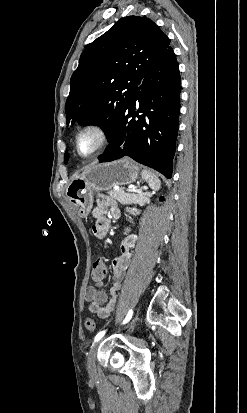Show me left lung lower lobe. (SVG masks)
<instances>
[{
  "mask_svg": "<svg viewBox=\"0 0 247 413\" xmlns=\"http://www.w3.org/2000/svg\"><path fill=\"white\" fill-rule=\"evenodd\" d=\"M180 91L179 66L170 47L139 82L99 162L129 156L171 178Z\"/></svg>",
  "mask_w": 247,
  "mask_h": 413,
  "instance_id": "obj_1",
  "label": "left lung lower lobe"
}]
</instances>
